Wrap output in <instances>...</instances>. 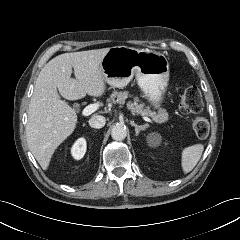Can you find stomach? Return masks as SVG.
<instances>
[{"label":"stomach","instance_id":"obj_1","mask_svg":"<svg viewBox=\"0 0 240 240\" xmlns=\"http://www.w3.org/2000/svg\"><path fill=\"white\" fill-rule=\"evenodd\" d=\"M100 67L112 87L122 88L135 77L143 96L155 107L160 106L169 81V62L162 53L115 46L108 50Z\"/></svg>","mask_w":240,"mask_h":240}]
</instances>
